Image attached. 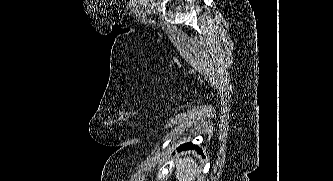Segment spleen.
I'll return each mask as SVG.
<instances>
[{"label": "spleen", "instance_id": "obj_1", "mask_svg": "<svg viewBox=\"0 0 333 181\" xmlns=\"http://www.w3.org/2000/svg\"><path fill=\"white\" fill-rule=\"evenodd\" d=\"M199 174L200 168L193 158H181L176 162V178L178 181H195Z\"/></svg>", "mask_w": 333, "mask_h": 181}]
</instances>
